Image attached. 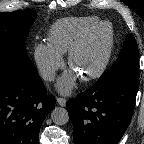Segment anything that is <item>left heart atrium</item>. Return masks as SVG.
<instances>
[{
	"mask_svg": "<svg viewBox=\"0 0 144 144\" xmlns=\"http://www.w3.org/2000/svg\"><path fill=\"white\" fill-rule=\"evenodd\" d=\"M77 74L74 70L66 72L58 81L57 88L63 94L69 93L75 85Z\"/></svg>",
	"mask_w": 144,
	"mask_h": 144,
	"instance_id": "obj_1",
	"label": "left heart atrium"
}]
</instances>
